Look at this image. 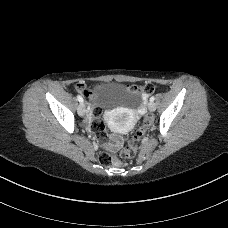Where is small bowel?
Here are the masks:
<instances>
[{
  "label": "small bowel",
  "mask_w": 228,
  "mask_h": 228,
  "mask_svg": "<svg viewBox=\"0 0 228 228\" xmlns=\"http://www.w3.org/2000/svg\"><path fill=\"white\" fill-rule=\"evenodd\" d=\"M90 120L91 118L89 117V115H87V119H86V123L87 125L89 126L90 125ZM110 139L113 141V142H117V143H120L122 141V138L118 135H112L110 137ZM102 141H104L106 143L107 141V137L104 135L102 138H101Z\"/></svg>",
  "instance_id": "obj_1"
}]
</instances>
